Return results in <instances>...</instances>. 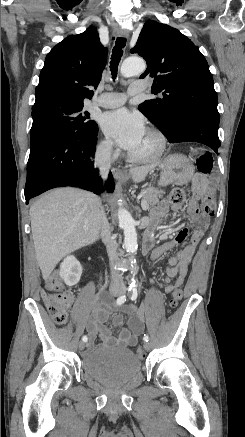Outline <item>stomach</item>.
<instances>
[{
  "label": "stomach",
  "instance_id": "0dacf381",
  "mask_svg": "<svg viewBox=\"0 0 245 437\" xmlns=\"http://www.w3.org/2000/svg\"><path fill=\"white\" fill-rule=\"evenodd\" d=\"M160 169V183L167 185L187 184L194 175V166L191 161L182 154H174L158 165Z\"/></svg>",
  "mask_w": 245,
  "mask_h": 437
}]
</instances>
